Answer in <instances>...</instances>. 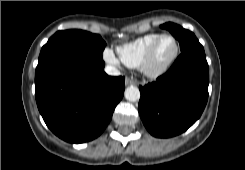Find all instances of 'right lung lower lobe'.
Listing matches in <instances>:
<instances>
[{
    "label": "right lung lower lobe",
    "mask_w": 245,
    "mask_h": 170,
    "mask_svg": "<svg viewBox=\"0 0 245 170\" xmlns=\"http://www.w3.org/2000/svg\"><path fill=\"white\" fill-rule=\"evenodd\" d=\"M100 58L68 55L35 74V97L48 128L69 143L97 138L123 97L124 77L104 72Z\"/></svg>",
    "instance_id": "98d812e1"
}]
</instances>
